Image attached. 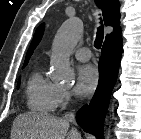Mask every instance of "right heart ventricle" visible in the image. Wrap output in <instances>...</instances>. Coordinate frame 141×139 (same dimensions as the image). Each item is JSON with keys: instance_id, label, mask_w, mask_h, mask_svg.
<instances>
[{"instance_id": "right-heart-ventricle-1", "label": "right heart ventricle", "mask_w": 141, "mask_h": 139, "mask_svg": "<svg viewBox=\"0 0 141 139\" xmlns=\"http://www.w3.org/2000/svg\"><path fill=\"white\" fill-rule=\"evenodd\" d=\"M58 87L36 70L29 76L25 94L28 108L36 113L47 114L56 108Z\"/></svg>"}]
</instances>
